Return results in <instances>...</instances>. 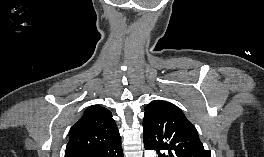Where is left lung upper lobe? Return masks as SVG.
Returning <instances> with one entry per match:
<instances>
[{
	"instance_id": "obj_1",
	"label": "left lung upper lobe",
	"mask_w": 264,
	"mask_h": 157,
	"mask_svg": "<svg viewBox=\"0 0 264 157\" xmlns=\"http://www.w3.org/2000/svg\"><path fill=\"white\" fill-rule=\"evenodd\" d=\"M143 142L158 157H211L181 109L163 100L145 106Z\"/></svg>"
}]
</instances>
